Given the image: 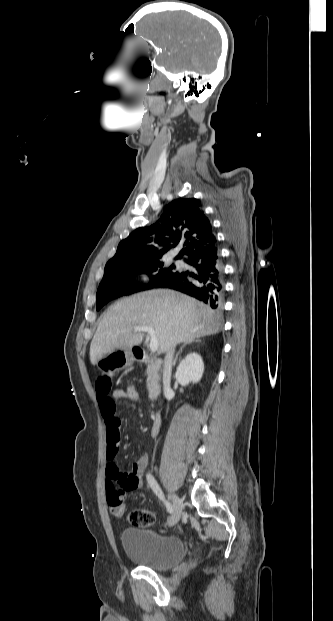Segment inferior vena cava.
Returning <instances> with one entry per match:
<instances>
[{"label": "inferior vena cava", "mask_w": 333, "mask_h": 621, "mask_svg": "<svg viewBox=\"0 0 333 621\" xmlns=\"http://www.w3.org/2000/svg\"><path fill=\"white\" fill-rule=\"evenodd\" d=\"M175 344L171 347V349L167 352L164 359V367H163V391L164 395L170 390V380L173 366V355Z\"/></svg>", "instance_id": "602c4592"}]
</instances>
